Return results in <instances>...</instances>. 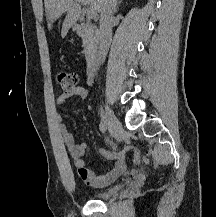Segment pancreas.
<instances>
[{
    "label": "pancreas",
    "instance_id": "cf45deb5",
    "mask_svg": "<svg viewBox=\"0 0 216 217\" xmlns=\"http://www.w3.org/2000/svg\"><path fill=\"white\" fill-rule=\"evenodd\" d=\"M81 37L83 41V47L87 50L91 47L96 38V31L95 28L89 24H85L82 27Z\"/></svg>",
    "mask_w": 216,
    "mask_h": 217
}]
</instances>
